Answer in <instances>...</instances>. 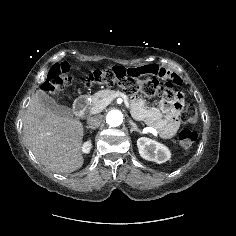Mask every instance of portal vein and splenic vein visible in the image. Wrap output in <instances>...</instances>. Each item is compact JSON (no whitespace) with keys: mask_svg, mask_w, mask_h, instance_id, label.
Returning <instances> with one entry per match:
<instances>
[{"mask_svg":"<svg viewBox=\"0 0 236 236\" xmlns=\"http://www.w3.org/2000/svg\"><path fill=\"white\" fill-rule=\"evenodd\" d=\"M119 97H121V98L124 99L125 96H124L122 93H120V94H119ZM114 98H116V97L113 96V97L105 98V99L103 100L102 104L97 105V106H95V107H92V108L90 109L89 113H90V114H96V113L101 112L106 106H108V105L111 103V101H112ZM124 103H125L126 107L129 106L128 101L125 100V99H124Z\"/></svg>","mask_w":236,"mask_h":236,"instance_id":"obj_1","label":"portal vein and splenic vein"}]
</instances>
